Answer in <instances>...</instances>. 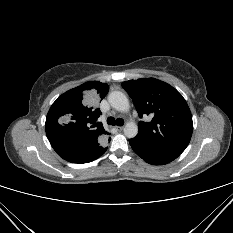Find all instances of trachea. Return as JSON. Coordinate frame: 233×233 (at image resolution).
Instances as JSON below:
<instances>
[{"label": "trachea", "mask_w": 233, "mask_h": 233, "mask_svg": "<svg viewBox=\"0 0 233 233\" xmlns=\"http://www.w3.org/2000/svg\"><path fill=\"white\" fill-rule=\"evenodd\" d=\"M107 123L113 126L114 125L122 126L124 124V120L122 118L115 119L114 117H108Z\"/></svg>", "instance_id": "obj_1"}]
</instances>
